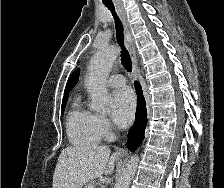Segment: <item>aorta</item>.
<instances>
[{
    "label": "aorta",
    "instance_id": "1",
    "mask_svg": "<svg viewBox=\"0 0 224 188\" xmlns=\"http://www.w3.org/2000/svg\"><path fill=\"white\" fill-rule=\"evenodd\" d=\"M118 55L115 46H103L91 58L89 64V76L86 85L91 96L90 109L97 112H105L108 105V93L106 79L114 65ZM139 157H131L123 169L115 188H129L136 173Z\"/></svg>",
    "mask_w": 224,
    "mask_h": 188
}]
</instances>
